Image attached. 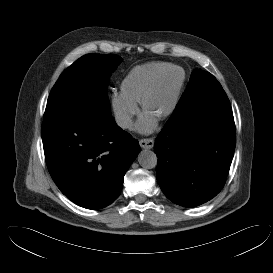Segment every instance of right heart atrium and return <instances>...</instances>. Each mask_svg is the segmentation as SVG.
I'll list each match as a JSON object with an SVG mask.
<instances>
[{
  "label": "right heart atrium",
  "instance_id": "right-heart-atrium-1",
  "mask_svg": "<svg viewBox=\"0 0 273 273\" xmlns=\"http://www.w3.org/2000/svg\"><path fill=\"white\" fill-rule=\"evenodd\" d=\"M111 107L116 122L123 128L129 127L132 117L137 113L136 104L121 94H114L111 98Z\"/></svg>",
  "mask_w": 273,
  "mask_h": 273
}]
</instances>
